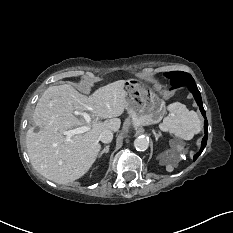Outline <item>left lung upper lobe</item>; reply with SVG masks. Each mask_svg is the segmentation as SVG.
<instances>
[{"instance_id": "1", "label": "left lung upper lobe", "mask_w": 233, "mask_h": 233, "mask_svg": "<svg viewBox=\"0 0 233 233\" xmlns=\"http://www.w3.org/2000/svg\"><path fill=\"white\" fill-rule=\"evenodd\" d=\"M164 75L171 80V84L174 82H180L187 79H193L190 74L182 71L168 72L165 73Z\"/></svg>"}]
</instances>
